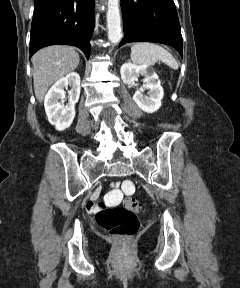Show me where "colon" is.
Wrapping results in <instances>:
<instances>
[{
    "mask_svg": "<svg viewBox=\"0 0 240 288\" xmlns=\"http://www.w3.org/2000/svg\"><path fill=\"white\" fill-rule=\"evenodd\" d=\"M126 192L133 190L130 182L123 184ZM142 210V204L135 199H127L123 206L103 208L96 214L97 224L111 236L124 242L130 241L139 230L137 214Z\"/></svg>",
    "mask_w": 240,
    "mask_h": 288,
    "instance_id": "1",
    "label": "colon"
}]
</instances>
